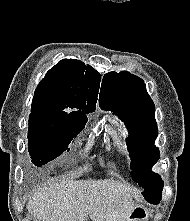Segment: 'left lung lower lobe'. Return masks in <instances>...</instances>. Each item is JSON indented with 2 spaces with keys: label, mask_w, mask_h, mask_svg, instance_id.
<instances>
[{
  "label": "left lung lower lobe",
  "mask_w": 190,
  "mask_h": 221,
  "mask_svg": "<svg viewBox=\"0 0 190 221\" xmlns=\"http://www.w3.org/2000/svg\"><path fill=\"white\" fill-rule=\"evenodd\" d=\"M160 200H161V197H160L158 200H156V201H154V202H150V203H152V204H159ZM148 202H149V201H148Z\"/></svg>",
  "instance_id": "0a47b994"
}]
</instances>
